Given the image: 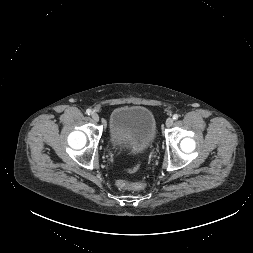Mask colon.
<instances>
[{
	"label": "colon",
	"instance_id": "colon-1",
	"mask_svg": "<svg viewBox=\"0 0 253 253\" xmlns=\"http://www.w3.org/2000/svg\"><path fill=\"white\" fill-rule=\"evenodd\" d=\"M116 185L119 189L122 190H141L145 187V184L142 182H129L124 179H119L116 182Z\"/></svg>",
	"mask_w": 253,
	"mask_h": 253
}]
</instances>
